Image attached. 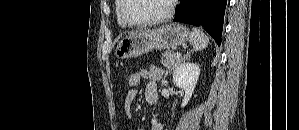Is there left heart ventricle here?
<instances>
[{
  "mask_svg": "<svg viewBox=\"0 0 299 130\" xmlns=\"http://www.w3.org/2000/svg\"><path fill=\"white\" fill-rule=\"evenodd\" d=\"M168 6V0H129L126 14L132 20L145 21L164 14Z\"/></svg>",
  "mask_w": 299,
  "mask_h": 130,
  "instance_id": "obj_1",
  "label": "left heart ventricle"
}]
</instances>
